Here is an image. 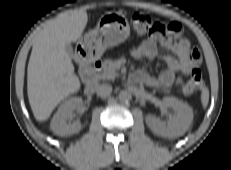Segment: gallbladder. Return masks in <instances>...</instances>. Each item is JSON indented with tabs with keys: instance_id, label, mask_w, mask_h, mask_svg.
I'll return each mask as SVG.
<instances>
[{
	"instance_id": "bac80fb5",
	"label": "gallbladder",
	"mask_w": 231,
	"mask_h": 170,
	"mask_svg": "<svg viewBox=\"0 0 231 170\" xmlns=\"http://www.w3.org/2000/svg\"><path fill=\"white\" fill-rule=\"evenodd\" d=\"M65 49H66V52H67L70 56H73V48H72V46H71L70 43H67V44L65 45Z\"/></svg>"
}]
</instances>
